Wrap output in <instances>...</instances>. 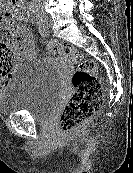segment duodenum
<instances>
[{"label":"duodenum","instance_id":"obj_1","mask_svg":"<svg viewBox=\"0 0 133 173\" xmlns=\"http://www.w3.org/2000/svg\"><path fill=\"white\" fill-rule=\"evenodd\" d=\"M12 4L14 6H18L19 9L22 12V15L27 18H32V7L28 2H25V0H11Z\"/></svg>","mask_w":133,"mask_h":173}]
</instances>
